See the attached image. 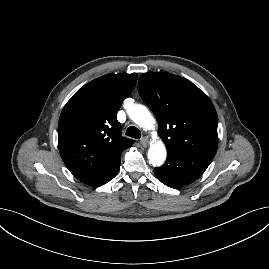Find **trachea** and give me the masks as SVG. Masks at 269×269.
<instances>
[{
  "label": "trachea",
  "instance_id": "1",
  "mask_svg": "<svg viewBox=\"0 0 269 269\" xmlns=\"http://www.w3.org/2000/svg\"><path fill=\"white\" fill-rule=\"evenodd\" d=\"M126 135L131 137V138H135V139H140L141 138V132L140 130L135 127V126H130L127 130H126Z\"/></svg>",
  "mask_w": 269,
  "mask_h": 269
}]
</instances>
